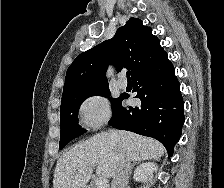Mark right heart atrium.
Instances as JSON below:
<instances>
[{
    "label": "right heart atrium",
    "mask_w": 224,
    "mask_h": 188,
    "mask_svg": "<svg viewBox=\"0 0 224 188\" xmlns=\"http://www.w3.org/2000/svg\"><path fill=\"white\" fill-rule=\"evenodd\" d=\"M79 116L88 129L96 130L102 127L111 116L108 99L99 94L87 97L80 105Z\"/></svg>",
    "instance_id": "right-heart-atrium-1"
}]
</instances>
